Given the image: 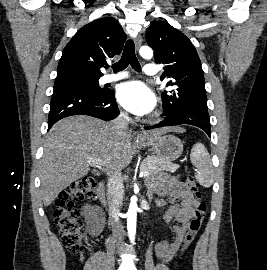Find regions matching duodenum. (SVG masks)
Wrapping results in <instances>:
<instances>
[{
  "mask_svg": "<svg viewBox=\"0 0 267 270\" xmlns=\"http://www.w3.org/2000/svg\"><path fill=\"white\" fill-rule=\"evenodd\" d=\"M97 196L99 200L103 203H106V193H105V184L104 182H100L97 187ZM111 217L115 219L117 217V211L113 210L111 213Z\"/></svg>",
  "mask_w": 267,
  "mask_h": 270,
  "instance_id": "1",
  "label": "duodenum"
}]
</instances>
